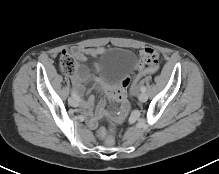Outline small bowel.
<instances>
[{
    "mask_svg": "<svg viewBox=\"0 0 219 174\" xmlns=\"http://www.w3.org/2000/svg\"><path fill=\"white\" fill-rule=\"evenodd\" d=\"M106 52V48L98 47V48H71L70 53L74 56L79 62H85L88 57L97 58ZM139 64L137 66L138 72L148 67L149 65L152 68H159L162 66L164 62V57L161 53L155 51L154 49H145L139 55ZM91 73L89 69L84 65H77L75 73L72 75L71 80L73 85L76 88L77 96L80 97L85 93L84 83L90 80ZM131 81L130 77H126L122 82L117 84V87L114 89L112 87L107 88V92L102 95L103 101L115 100L116 105L119 107V110L122 112L118 113V116L112 117L113 123H123L127 120V113L125 111L131 107V102L128 98V90L127 87ZM95 98L91 96L87 101H85L82 105L83 110L86 114H89ZM105 113V103L101 102L96 111V116L91 117L88 121V125L91 128H95L97 126L98 119L103 116ZM101 138L100 136H98Z\"/></svg>",
    "mask_w": 219,
    "mask_h": 174,
    "instance_id": "obj_1",
    "label": "small bowel"
}]
</instances>
